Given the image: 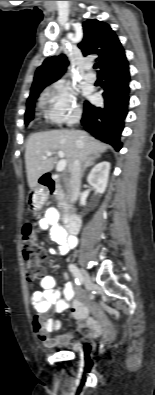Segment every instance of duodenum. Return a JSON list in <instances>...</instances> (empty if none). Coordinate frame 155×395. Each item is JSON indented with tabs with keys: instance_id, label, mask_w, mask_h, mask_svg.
Here are the masks:
<instances>
[{
	"instance_id": "duodenum-1",
	"label": "duodenum",
	"mask_w": 155,
	"mask_h": 395,
	"mask_svg": "<svg viewBox=\"0 0 155 395\" xmlns=\"http://www.w3.org/2000/svg\"><path fill=\"white\" fill-rule=\"evenodd\" d=\"M43 185L45 188L51 191H53L55 188V182L50 175L45 176ZM64 222L67 230L72 234L77 233L81 228V219L74 212L67 213L65 215Z\"/></svg>"
}]
</instances>
